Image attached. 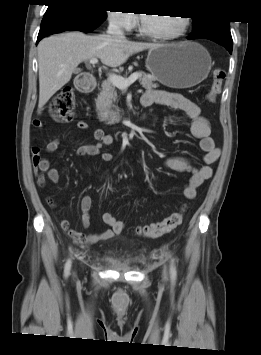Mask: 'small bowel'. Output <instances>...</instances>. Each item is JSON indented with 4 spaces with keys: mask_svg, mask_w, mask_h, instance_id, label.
Listing matches in <instances>:
<instances>
[{
    "mask_svg": "<svg viewBox=\"0 0 261 355\" xmlns=\"http://www.w3.org/2000/svg\"><path fill=\"white\" fill-rule=\"evenodd\" d=\"M141 104L145 107L154 104L163 105L183 111L192 121L191 133L199 140L200 150L203 152V164L195 167L191 162L182 156H169L165 159L164 165L167 169L176 172H189L191 177L183 189L184 196L187 199H193L196 196L197 188L207 179L212 176L211 165L214 164L219 157V149L215 147L213 139L210 137V125L207 119L201 114V109L194 101L185 98L176 93H170L163 90L148 89L141 98ZM77 128L81 131L89 129V125L85 121H78ZM35 129L43 127L42 121L36 120L33 123ZM93 137L96 140L94 144L81 145L76 149L78 156H101L105 162H109L112 156L109 153H102V149L111 145L113 137L105 134L102 129H95ZM60 145L59 139H53L45 145V151L48 153L55 152ZM33 170L40 186H45L49 181L58 183L60 180L59 173L56 169L51 168L50 161L42 156V147L35 144L31 148ZM51 207H55L52 200H48ZM92 199L89 195H84L80 199V209L82 212L81 223L87 228L91 223ZM103 222L108 226V229L82 233L72 228L69 221L62 219L60 225L62 229L76 242L80 244H96L103 240L112 237L114 234L122 232L126 223L117 219L111 213H104L102 216Z\"/></svg>",
    "mask_w": 261,
    "mask_h": 355,
    "instance_id": "small-bowel-1",
    "label": "small bowel"
}]
</instances>
